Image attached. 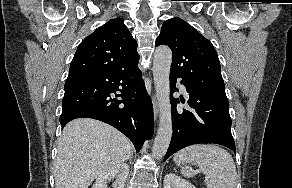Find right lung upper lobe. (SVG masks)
Returning <instances> with one entry per match:
<instances>
[{"mask_svg": "<svg viewBox=\"0 0 292 188\" xmlns=\"http://www.w3.org/2000/svg\"><path fill=\"white\" fill-rule=\"evenodd\" d=\"M123 19L99 27L78 46L70 72L125 71L137 67L139 54Z\"/></svg>", "mask_w": 292, "mask_h": 188, "instance_id": "obj_1", "label": "right lung upper lobe"}]
</instances>
